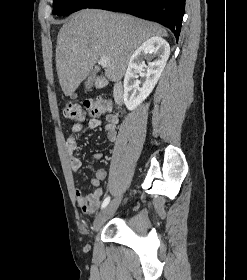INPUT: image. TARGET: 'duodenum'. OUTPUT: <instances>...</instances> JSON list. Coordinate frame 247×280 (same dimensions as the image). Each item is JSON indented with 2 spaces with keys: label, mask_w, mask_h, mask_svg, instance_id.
I'll return each mask as SVG.
<instances>
[{
  "label": "duodenum",
  "mask_w": 247,
  "mask_h": 280,
  "mask_svg": "<svg viewBox=\"0 0 247 280\" xmlns=\"http://www.w3.org/2000/svg\"><path fill=\"white\" fill-rule=\"evenodd\" d=\"M113 96L116 103L121 104L123 102L124 93H123V86L121 83H116L114 85Z\"/></svg>",
  "instance_id": "duodenum-1"
}]
</instances>
